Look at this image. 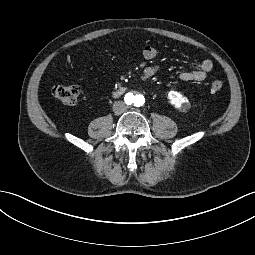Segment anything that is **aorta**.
Wrapping results in <instances>:
<instances>
[{"label":"aorta","mask_w":255,"mask_h":255,"mask_svg":"<svg viewBox=\"0 0 255 255\" xmlns=\"http://www.w3.org/2000/svg\"><path fill=\"white\" fill-rule=\"evenodd\" d=\"M126 100L129 104H134L136 106H141L145 102V98L141 94H135V93H127Z\"/></svg>","instance_id":"aorta-1"}]
</instances>
